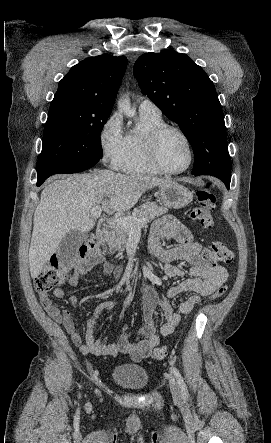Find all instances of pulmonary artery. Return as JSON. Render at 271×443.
Returning a JSON list of instances; mask_svg holds the SVG:
<instances>
[{"label":"pulmonary artery","instance_id":"e3ab8cb5","mask_svg":"<svg viewBox=\"0 0 271 443\" xmlns=\"http://www.w3.org/2000/svg\"><path fill=\"white\" fill-rule=\"evenodd\" d=\"M139 112L143 114L160 115V109L157 105L147 98H141L139 101Z\"/></svg>","mask_w":271,"mask_h":443}]
</instances>
